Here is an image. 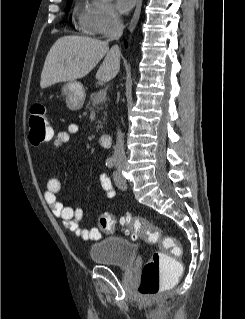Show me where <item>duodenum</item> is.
<instances>
[{"label": "duodenum", "instance_id": "duodenum-1", "mask_svg": "<svg viewBox=\"0 0 245 319\" xmlns=\"http://www.w3.org/2000/svg\"><path fill=\"white\" fill-rule=\"evenodd\" d=\"M100 143L104 148H110L112 143V137L109 133H103L100 136Z\"/></svg>", "mask_w": 245, "mask_h": 319}]
</instances>
